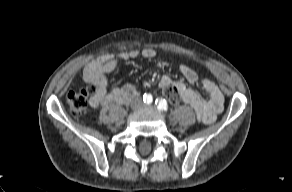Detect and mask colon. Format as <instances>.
<instances>
[{
	"label": "colon",
	"instance_id": "colon-1",
	"mask_svg": "<svg viewBox=\"0 0 292 192\" xmlns=\"http://www.w3.org/2000/svg\"><path fill=\"white\" fill-rule=\"evenodd\" d=\"M96 92L95 84H90L85 89L71 90L67 94V105L70 112L76 116L81 115L88 107L89 97L95 95ZM162 92L172 103H179L180 98L171 88L162 89Z\"/></svg>",
	"mask_w": 292,
	"mask_h": 192
}]
</instances>
